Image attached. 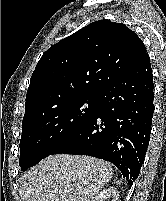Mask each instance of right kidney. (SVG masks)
<instances>
[{
	"label": "right kidney",
	"instance_id": "obj_1",
	"mask_svg": "<svg viewBox=\"0 0 166 201\" xmlns=\"http://www.w3.org/2000/svg\"><path fill=\"white\" fill-rule=\"evenodd\" d=\"M107 199H111V201L119 200V192L115 187L111 186L104 189L95 197V201H106Z\"/></svg>",
	"mask_w": 166,
	"mask_h": 201
}]
</instances>
